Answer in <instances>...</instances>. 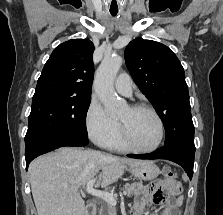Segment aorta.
Here are the masks:
<instances>
[{
  "instance_id": "obj_1",
  "label": "aorta",
  "mask_w": 223,
  "mask_h": 215,
  "mask_svg": "<svg viewBox=\"0 0 223 215\" xmlns=\"http://www.w3.org/2000/svg\"><path fill=\"white\" fill-rule=\"evenodd\" d=\"M123 64L121 56H105L99 68L96 70L94 80L95 94L99 96L105 111L111 117L121 115L122 111L126 108L125 100L117 98L114 90V80Z\"/></svg>"
}]
</instances>
